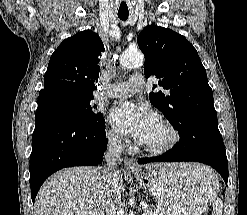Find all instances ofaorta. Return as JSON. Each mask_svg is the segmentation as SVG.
Here are the masks:
<instances>
[{
	"instance_id": "762f6f07",
	"label": "aorta",
	"mask_w": 247,
	"mask_h": 215,
	"mask_svg": "<svg viewBox=\"0 0 247 215\" xmlns=\"http://www.w3.org/2000/svg\"><path fill=\"white\" fill-rule=\"evenodd\" d=\"M143 62L144 56L140 52H125L120 57V64L124 68L140 67Z\"/></svg>"
}]
</instances>
